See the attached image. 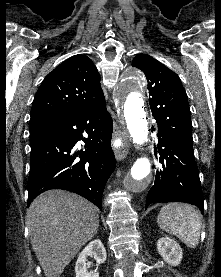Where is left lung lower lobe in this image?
Listing matches in <instances>:
<instances>
[{"mask_svg": "<svg viewBox=\"0 0 221 277\" xmlns=\"http://www.w3.org/2000/svg\"><path fill=\"white\" fill-rule=\"evenodd\" d=\"M159 168L146 208L154 202H187L203 213V194L193 149L158 128ZM145 208V209H146Z\"/></svg>", "mask_w": 221, "mask_h": 277, "instance_id": "1", "label": "left lung lower lobe"}]
</instances>
